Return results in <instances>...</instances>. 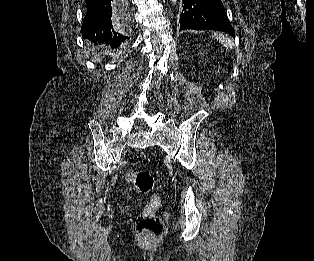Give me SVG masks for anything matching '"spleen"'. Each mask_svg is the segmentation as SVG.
I'll return each instance as SVG.
<instances>
[{
    "label": "spleen",
    "mask_w": 314,
    "mask_h": 261,
    "mask_svg": "<svg viewBox=\"0 0 314 261\" xmlns=\"http://www.w3.org/2000/svg\"><path fill=\"white\" fill-rule=\"evenodd\" d=\"M214 37H215V39H216L217 41H219V43H221L224 47L230 48V49L233 48V43H232V41H231L230 38H228V37H226V36H224L223 34H220V33H219V34L216 33V34L214 35Z\"/></svg>",
    "instance_id": "3e777b00"
}]
</instances>
